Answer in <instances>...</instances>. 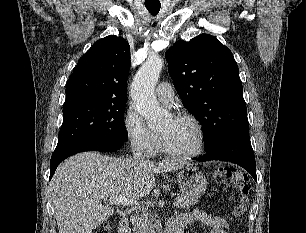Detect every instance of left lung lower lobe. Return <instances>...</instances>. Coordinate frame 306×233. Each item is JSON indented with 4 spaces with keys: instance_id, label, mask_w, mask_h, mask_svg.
<instances>
[{
    "instance_id": "obj_1",
    "label": "left lung lower lobe",
    "mask_w": 306,
    "mask_h": 233,
    "mask_svg": "<svg viewBox=\"0 0 306 233\" xmlns=\"http://www.w3.org/2000/svg\"><path fill=\"white\" fill-rule=\"evenodd\" d=\"M198 161L221 160L229 161L246 169L257 181L254 152L249 136L232 137L221 140L206 149Z\"/></svg>"
}]
</instances>
